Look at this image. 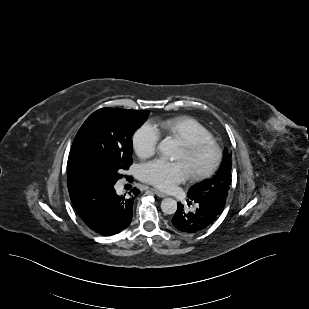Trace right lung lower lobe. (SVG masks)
<instances>
[{"label":"right lung lower lobe","instance_id":"right-lung-lower-lobe-1","mask_svg":"<svg viewBox=\"0 0 309 309\" xmlns=\"http://www.w3.org/2000/svg\"><path fill=\"white\" fill-rule=\"evenodd\" d=\"M67 184L75 210L92 230L111 236L129 226L138 189H132L126 197L119 196L114 184L80 171H68Z\"/></svg>","mask_w":309,"mask_h":309}]
</instances>
